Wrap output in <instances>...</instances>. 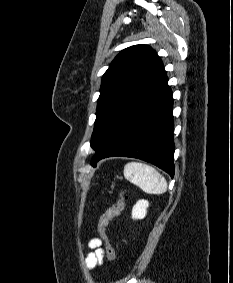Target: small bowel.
Segmentation results:
<instances>
[{
  "instance_id": "obj_1",
  "label": "small bowel",
  "mask_w": 233,
  "mask_h": 283,
  "mask_svg": "<svg viewBox=\"0 0 233 283\" xmlns=\"http://www.w3.org/2000/svg\"><path fill=\"white\" fill-rule=\"evenodd\" d=\"M89 247L92 250L85 259V264L88 270H93L103 262L104 250L101 248V240L93 238L89 242Z\"/></svg>"
}]
</instances>
